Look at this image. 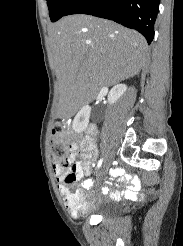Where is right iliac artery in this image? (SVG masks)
<instances>
[{"label": "right iliac artery", "instance_id": "obj_1", "mask_svg": "<svg viewBox=\"0 0 183 246\" xmlns=\"http://www.w3.org/2000/svg\"><path fill=\"white\" fill-rule=\"evenodd\" d=\"M101 164H102V159L101 160H99V162H98V164H97V167L99 168L100 166H101ZM113 174H116L115 172H113Z\"/></svg>", "mask_w": 183, "mask_h": 246}]
</instances>
